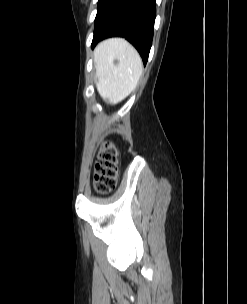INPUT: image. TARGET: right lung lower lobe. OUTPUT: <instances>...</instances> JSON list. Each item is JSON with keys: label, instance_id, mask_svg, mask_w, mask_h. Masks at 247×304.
Returning <instances> with one entry per match:
<instances>
[{"label": "right lung lower lobe", "instance_id": "98d812e1", "mask_svg": "<svg viewBox=\"0 0 247 304\" xmlns=\"http://www.w3.org/2000/svg\"><path fill=\"white\" fill-rule=\"evenodd\" d=\"M156 0H99L92 48L104 38L120 36L147 63L154 31Z\"/></svg>", "mask_w": 247, "mask_h": 304}]
</instances>
